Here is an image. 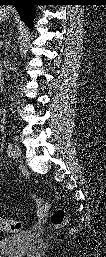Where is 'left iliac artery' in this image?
<instances>
[{
  "mask_svg": "<svg viewBox=\"0 0 106 257\" xmlns=\"http://www.w3.org/2000/svg\"><path fill=\"white\" fill-rule=\"evenodd\" d=\"M7 154H8L9 157H11L13 155V145H12V143H8Z\"/></svg>",
  "mask_w": 106,
  "mask_h": 257,
  "instance_id": "left-iliac-artery-1",
  "label": "left iliac artery"
}]
</instances>
